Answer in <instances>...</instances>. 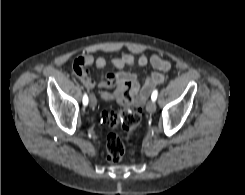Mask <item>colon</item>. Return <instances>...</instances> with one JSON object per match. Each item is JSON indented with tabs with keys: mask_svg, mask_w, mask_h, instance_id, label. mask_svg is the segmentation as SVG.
I'll return each mask as SVG.
<instances>
[{
	"mask_svg": "<svg viewBox=\"0 0 245 195\" xmlns=\"http://www.w3.org/2000/svg\"><path fill=\"white\" fill-rule=\"evenodd\" d=\"M142 113V108L137 107L133 110L124 109L118 113L112 112L104 115V123L110 129L106 144V160L108 163L118 164L122 160L125 145L118 131L127 135L132 134L141 122Z\"/></svg>",
	"mask_w": 245,
	"mask_h": 195,
	"instance_id": "obj_1",
	"label": "colon"
}]
</instances>
